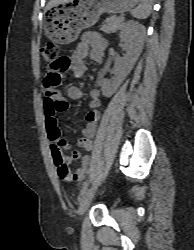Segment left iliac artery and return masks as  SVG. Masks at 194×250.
Wrapping results in <instances>:
<instances>
[{
  "mask_svg": "<svg viewBox=\"0 0 194 250\" xmlns=\"http://www.w3.org/2000/svg\"><path fill=\"white\" fill-rule=\"evenodd\" d=\"M88 184H89V182H88V180H86V181L84 182V184H83L82 189H81L80 196H82V195L85 193V191H86L87 188H88ZM79 199H80V197H79Z\"/></svg>",
  "mask_w": 194,
  "mask_h": 250,
  "instance_id": "1",
  "label": "left iliac artery"
}]
</instances>
